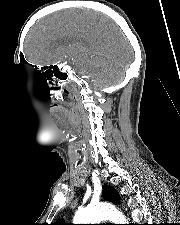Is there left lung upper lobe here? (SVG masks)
Wrapping results in <instances>:
<instances>
[{
    "label": "left lung upper lobe",
    "mask_w": 180,
    "mask_h": 225,
    "mask_svg": "<svg viewBox=\"0 0 180 225\" xmlns=\"http://www.w3.org/2000/svg\"><path fill=\"white\" fill-rule=\"evenodd\" d=\"M102 196L104 199L111 201L113 203H117L120 200V197L117 191L113 187L106 186V185L103 186ZM52 225H68V224H65L64 220L61 219L56 221Z\"/></svg>",
    "instance_id": "1"
}]
</instances>
